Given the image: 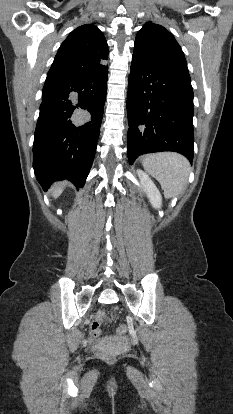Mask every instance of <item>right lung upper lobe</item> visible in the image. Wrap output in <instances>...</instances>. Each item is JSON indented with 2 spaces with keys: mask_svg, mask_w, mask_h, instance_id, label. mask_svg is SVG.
Wrapping results in <instances>:
<instances>
[{
  "mask_svg": "<svg viewBox=\"0 0 233 414\" xmlns=\"http://www.w3.org/2000/svg\"><path fill=\"white\" fill-rule=\"evenodd\" d=\"M108 46L103 33L86 24L72 31L60 46L48 72L58 78H74L99 73L107 66Z\"/></svg>",
  "mask_w": 233,
  "mask_h": 414,
  "instance_id": "obj_1",
  "label": "right lung upper lobe"
}]
</instances>
